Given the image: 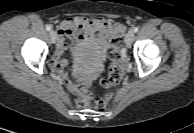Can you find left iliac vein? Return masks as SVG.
Instances as JSON below:
<instances>
[{
    "mask_svg": "<svg viewBox=\"0 0 194 133\" xmlns=\"http://www.w3.org/2000/svg\"><path fill=\"white\" fill-rule=\"evenodd\" d=\"M134 40V31H129L125 37V44L127 47H130Z\"/></svg>",
    "mask_w": 194,
    "mask_h": 133,
    "instance_id": "left-iliac-vein-1",
    "label": "left iliac vein"
}]
</instances>
